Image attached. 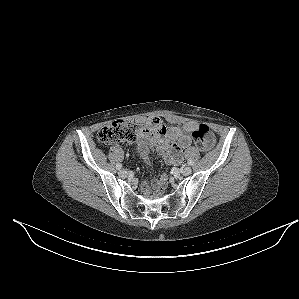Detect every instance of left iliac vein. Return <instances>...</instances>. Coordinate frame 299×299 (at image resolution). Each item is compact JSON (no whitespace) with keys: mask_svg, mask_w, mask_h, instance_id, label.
<instances>
[{"mask_svg":"<svg viewBox=\"0 0 299 299\" xmlns=\"http://www.w3.org/2000/svg\"><path fill=\"white\" fill-rule=\"evenodd\" d=\"M191 172H192V169L189 166H185L181 169V174L184 176L191 174Z\"/></svg>","mask_w":299,"mask_h":299,"instance_id":"left-iliac-vein-1","label":"left iliac vein"}]
</instances>
